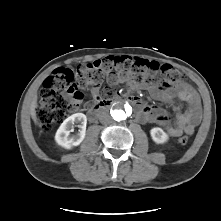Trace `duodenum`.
Here are the masks:
<instances>
[{"mask_svg": "<svg viewBox=\"0 0 221 221\" xmlns=\"http://www.w3.org/2000/svg\"><path fill=\"white\" fill-rule=\"evenodd\" d=\"M127 100L134 104V105H139L140 101L132 96L127 97ZM115 100L106 98V99H101L93 104L90 105L87 116L90 120H96L98 115L104 111H106L108 108H110L114 104Z\"/></svg>", "mask_w": 221, "mask_h": 221, "instance_id": "duodenum-1", "label": "duodenum"}]
</instances>
